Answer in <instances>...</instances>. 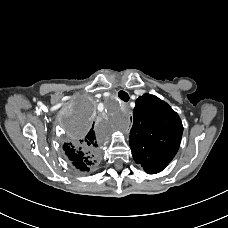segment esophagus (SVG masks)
I'll return each mask as SVG.
<instances>
[{
    "instance_id": "34e87169",
    "label": "esophagus",
    "mask_w": 228,
    "mask_h": 228,
    "mask_svg": "<svg viewBox=\"0 0 228 228\" xmlns=\"http://www.w3.org/2000/svg\"><path fill=\"white\" fill-rule=\"evenodd\" d=\"M122 106H123L124 108H127V104H125V103H123Z\"/></svg>"
}]
</instances>
